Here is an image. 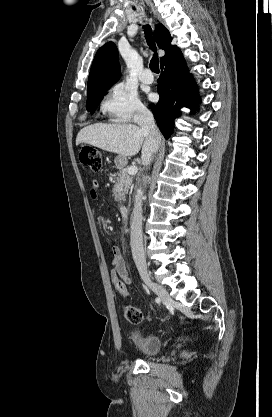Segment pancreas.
Returning <instances> with one entry per match:
<instances>
[{"label": "pancreas", "mask_w": 272, "mask_h": 417, "mask_svg": "<svg viewBox=\"0 0 272 417\" xmlns=\"http://www.w3.org/2000/svg\"><path fill=\"white\" fill-rule=\"evenodd\" d=\"M115 185L113 187V195L115 201L122 204L125 201L126 194L129 191L130 186L132 185L133 178L128 174L126 168L119 170L117 174L114 175Z\"/></svg>", "instance_id": "cf45deb5"}]
</instances>
